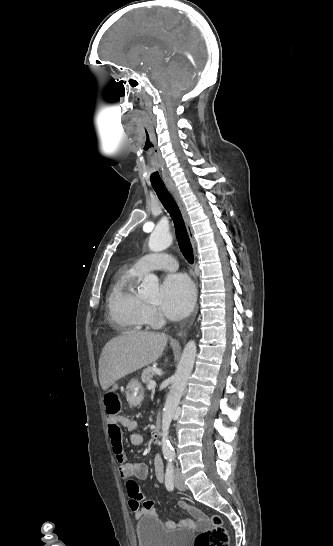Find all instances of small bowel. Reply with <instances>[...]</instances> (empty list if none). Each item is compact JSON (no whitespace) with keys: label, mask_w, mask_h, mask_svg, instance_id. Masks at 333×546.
<instances>
[{"label":"small bowel","mask_w":333,"mask_h":546,"mask_svg":"<svg viewBox=\"0 0 333 546\" xmlns=\"http://www.w3.org/2000/svg\"><path fill=\"white\" fill-rule=\"evenodd\" d=\"M108 390L115 393L118 389L115 386H112ZM106 419L110 444L119 463V475L126 480L127 493L130 498L129 507L131 511L135 514L136 518H139L144 514L156 515L154 502L152 500L143 499V496L136 483V480L145 479L148 476V466L142 462H128L123 453L120 426L125 427L129 431H134L138 426L137 422L120 414L117 418H110L107 413ZM130 442L133 445H141L144 442V438L138 433H132L130 436ZM154 467L157 480L162 482L165 479V473L163 461L159 456H156L154 459ZM192 514L200 523L204 521V518L196 509H192ZM179 523L184 524L185 522L181 521ZM166 525L172 526L174 523L168 521L166 522Z\"/></svg>","instance_id":"obj_1"}]
</instances>
